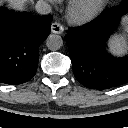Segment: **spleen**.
<instances>
[{
	"label": "spleen",
	"instance_id": "1",
	"mask_svg": "<svg viewBox=\"0 0 128 128\" xmlns=\"http://www.w3.org/2000/svg\"><path fill=\"white\" fill-rule=\"evenodd\" d=\"M110 49L115 54H121L128 49V34H115L109 40Z\"/></svg>",
	"mask_w": 128,
	"mask_h": 128
}]
</instances>
